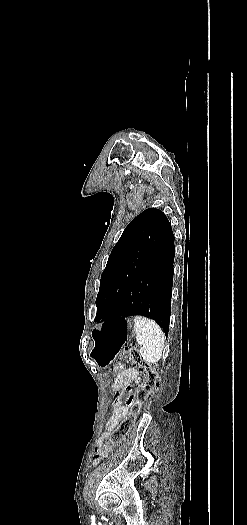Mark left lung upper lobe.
I'll return each instance as SVG.
<instances>
[{
	"instance_id": "obj_1",
	"label": "left lung upper lobe",
	"mask_w": 247,
	"mask_h": 525,
	"mask_svg": "<svg viewBox=\"0 0 247 525\" xmlns=\"http://www.w3.org/2000/svg\"><path fill=\"white\" fill-rule=\"evenodd\" d=\"M169 227L165 214L156 208L143 211L127 225L102 273L95 321L102 320L125 295Z\"/></svg>"
}]
</instances>
